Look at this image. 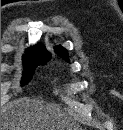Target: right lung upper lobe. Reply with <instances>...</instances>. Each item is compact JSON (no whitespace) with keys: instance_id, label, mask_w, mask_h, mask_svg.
<instances>
[{"instance_id":"cb5924a9","label":"right lung upper lobe","mask_w":123,"mask_h":130,"mask_svg":"<svg viewBox=\"0 0 123 130\" xmlns=\"http://www.w3.org/2000/svg\"><path fill=\"white\" fill-rule=\"evenodd\" d=\"M49 52L44 48L43 45L38 44L37 46L27 50L25 57L29 56H49Z\"/></svg>"}]
</instances>
